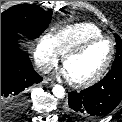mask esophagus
Segmentation results:
<instances>
[{
	"label": "esophagus",
	"mask_w": 122,
	"mask_h": 122,
	"mask_svg": "<svg viewBox=\"0 0 122 122\" xmlns=\"http://www.w3.org/2000/svg\"><path fill=\"white\" fill-rule=\"evenodd\" d=\"M43 83H45V84H51V85H53L54 84V82L51 80V79H49V78H43Z\"/></svg>",
	"instance_id": "34e87169"
}]
</instances>
